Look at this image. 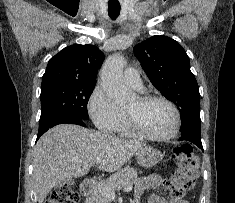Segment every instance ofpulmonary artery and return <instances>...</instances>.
<instances>
[{"mask_svg":"<svg viewBox=\"0 0 235 203\" xmlns=\"http://www.w3.org/2000/svg\"><path fill=\"white\" fill-rule=\"evenodd\" d=\"M124 82L138 91H142L144 88L141 77L134 68H127L124 71Z\"/></svg>","mask_w":235,"mask_h":203,"instance_id":"pulmonary-artery-1","label":"pulmonary artery"}]
</instances>
